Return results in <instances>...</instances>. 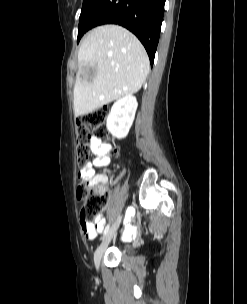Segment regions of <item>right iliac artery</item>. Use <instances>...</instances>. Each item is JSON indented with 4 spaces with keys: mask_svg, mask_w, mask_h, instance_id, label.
Instances as JSON below:
<instances>
[{
    "mask_svg": "<svg viewBox=\"0 0 247 304\" xmlns=\"http://www.w3.org/2000/svg\"><path fill=\"white\" fill-rule=\"evenodd\" d=\"M110 228V224H108L104 230L103 236H105Z\"/></svg>",
    "mask_w": 247,
    "mask_h": 304,
    "instance_id": "obj_1",
    "label": "right iliac artery"
}]
</instances>
